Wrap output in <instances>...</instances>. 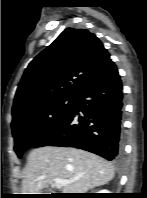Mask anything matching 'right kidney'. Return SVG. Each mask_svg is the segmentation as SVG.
<instances>
[{"label": "right kidney", "instance_id": "right-kidney-1", "mask_svg": "<svg viewBox=\"0 0 147 198\" xmlns=\"http://www.w3.org/2000/svg\"><path fill=\"white\" fill-rule=\"evenodd\" d=\"M98 193H110L107 189H102L101 191H98Z\"/></svg>", "mask_w": 147, "mask_h": 198}]
</instances>
